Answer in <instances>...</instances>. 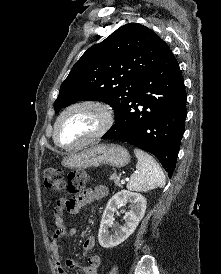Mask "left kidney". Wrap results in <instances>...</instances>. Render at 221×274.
Segmentation results:
<instances>
[{"mask_svg": "<svg viewBox=\"0 0 221 274\" xmlns=\"http://www.w3.org/2000/svg\"><path fill=\"white\" fill-rule=\"evenodd\" d=\"M130 204V211L125 212V224L113 234L109 228L114 224V213L117 209ZM146 198L138 193L122 190L116 193L107 203L100 224L98 240L103 248H113L124 242L137 228L146 210Z\"/></svg>", "mask_w": 221, "mask_h": 274, "instance_id": "obj_1", "label": "left kidney"}]
</instances>
